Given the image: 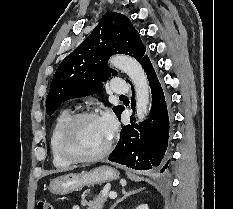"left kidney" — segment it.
<instances>
[{"instance_id": "left-kidney-1", "label": "left kidney", "mask_w": 233, "mask_h": 209, "mask_svg": "<svg viewBox=\"0 0 233 209\" xmlns=\"http://www.w3.org/2000/svg\"><path fill=\"white\" fill-rule=\"evenodd\" d=\"M136 209H149L147 204H141Z\"/></svg>"}]
</instances>
